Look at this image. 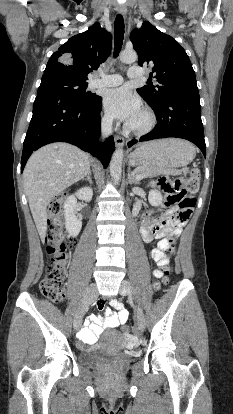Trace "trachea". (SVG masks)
Masks as SVG:
<instances>
[{"label": "trachea", "instance_id": "trachea-1", "mask_svg": "<svg viewBox=\"0 0 233 414\" xmlns=\"http://www.w3.org/2000/svg\"><path fill=\"white\" fill-rule=\"evenodd\" d=\"M124 39V20L122 15H117L114 25V57L116 58L121 51Z\"/></svg>", "mask_w": 233, "mask_h": 414}]
</instances>
